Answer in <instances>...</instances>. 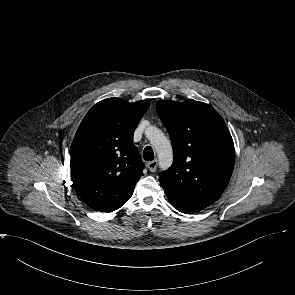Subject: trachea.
<instances>
[{"label": "trachea", "instance_id": "1", "mask_svg": "<svg viewBox=\"0 0 295 295\" xmlns=\"http://www.w3.org/2000/svg\"><path fill=\"white\" fill-rule=\"evenodd\" d=\"M143 155L145 161H151L154 159V152L150 146H146L144 148Z\"/></svg>", "mask_w": 295, "mask_h": 295}]
</instances>
